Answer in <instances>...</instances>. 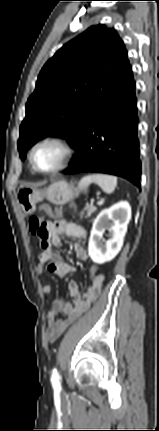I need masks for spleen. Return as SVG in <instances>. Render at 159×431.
<instances>
[{
  "label": "spleen",
  "instance_id": "spleen-1",
  "mask_svg": "<svg viewBox=\"0 0 159 431\" xmlns=\"http://www.w3.org/2000/svg\"><path fill=\"white\" fill-rule=\"evenodd\" d=\"M84 184L96 183L106 193H112L117 186V177L106 174H92L81 180Z\"/></svg>",
  "mask_w": 159,
  "mask_h": 431
}]
</instances>
